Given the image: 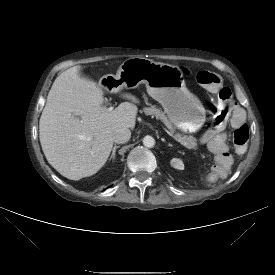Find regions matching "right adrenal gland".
<instances>
[{"instance_id": "2a0ac1e0", "label": "right adrenal gland", "mask_w": 275, "mask_h": 275, "mask_svg": "<svg viewBox=\"0 0 275 275\" xmlns=\"http://www.w3.org/2000/svg\"><path fill=\"white\" fill-rule=\"evenodd\" d=\"M120 146L119 145H115L113 147V150H112V155L110 157V160H114L115 159V152H116V149H118Z\"/></svg>"}]
</instances>
